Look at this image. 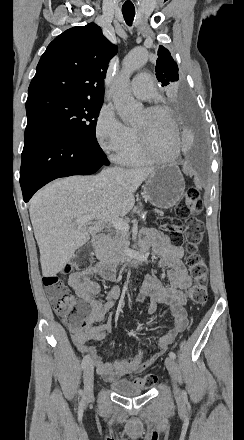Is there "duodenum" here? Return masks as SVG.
Masks as SVG:
<instances>
[{
    "mask_svg": "<svg viewBox=\"0 0 244 440\" xmlns=\"http://www.w3.org/2000/svg\"><path fill=\"white\" fill-rule=\"evenodd\" d=\"M104 237L102 235H96L92 238V244L97 248L104 247ZM141 245V244H140ZM142 247V246H141ZM143 250H145L143 247L141 250L138 251V254L136 255H128L121 259L119 266L127 269V270H136L138 269L142 264V253ZM117 264H109L110 268L117 267Z\"/></svg>",
    "mask_w": 244,
    "mask_h": 440,
    "instance_id": "obj_1",
    "label": "duodenum"
}]
</instances>
